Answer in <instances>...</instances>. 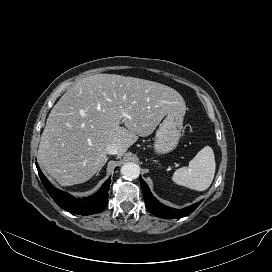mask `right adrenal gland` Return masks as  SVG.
<instances>
[{"label":"right adrenal gland","mask_w":272,"mask_h":272,"mask_svg":"<svg viewBox=\"0 0 272 272\" xmlns=\"http://www.w3.org/2000/svg\"><path fill=\"white\" fill-rule=\"evenodd\" d=\"M108 158H106L105 162L102 164V166L99 168L98 172H97V176L99 175V172L101 171V169L103 168V166L105 165V163L107 162Z\"/></svg>","instance_id":"obj_1"}]
</instances>
